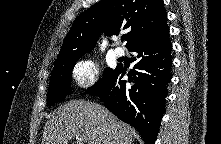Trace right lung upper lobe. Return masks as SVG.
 <instances>
[{"instance_id":"cb5924a9","label":"right lung upper lobe","mask_w":221,"mask_h":144,"mask_svg":"<svg viewBox=\"0 0 221 144\" xmlns=\"http://www.w3.org/2000/svg\"><path fill=\"white\" fill-rule=\"evenodd\" d=\"M163 0H102L73 23L61 47L55 66L77 61L96 44L100 32L117 35L127 33L128 48L134 41L166 24Z\"/></svg>"}]
</instances>
